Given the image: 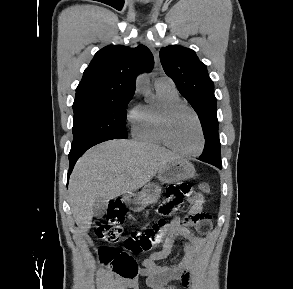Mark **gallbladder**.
Here are the masks:
<instances>
[{"label": "gallbladder", "instance_id": "obj_1", "mask_svg": "<svg viewBox=\"0 0 293 289\" xmlns=\"http://www.w3.org/2000/svg\"><path fill=\"white\" fill-rule=\"evenodd\" d=\"M108 200L104 198H99L95 201L93 205V215L95 217L101 218L107 209Z\"/></svg>", "mask_w": 293, "mask_h": 289}]
</instances>
